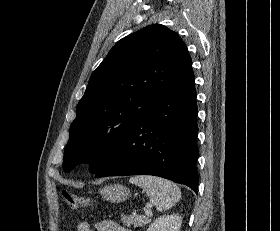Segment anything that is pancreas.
Segmentation results:
<instances>
[{"mask_svg": "<svg viewBox=\"0 0 280 231\" xmlns=\"http://www.w3.org/2000/svg\"><path fill=\"white\" fill-rule=\"evenodd\" d=\"M121 221H123L124 225H128V227H140V225H146V223H149L151 221L150 217H145V215H136V213H133V215H124V213H121Z\"/></svg>", "mask_w": 280, "mask_h": 231, "instance_id": "cf45deb5", "label": "pancreas"}]
</instances>
